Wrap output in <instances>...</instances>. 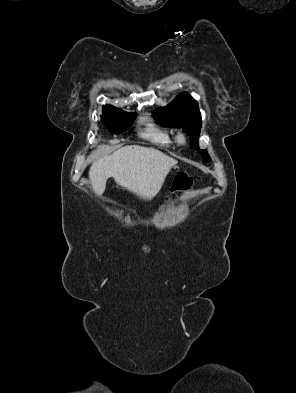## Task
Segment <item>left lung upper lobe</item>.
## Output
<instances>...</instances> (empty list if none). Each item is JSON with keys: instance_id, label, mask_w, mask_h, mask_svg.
Returning <instances> with one entry per match:
<instances>
[{"instance_id": "5c2ea615", "label": "left lung upper lobe", "mask_w": 296, "mask_h": 393, "mask_svg": "<svg viewBox=\"0 0 296 393\" xmlns=\"http://www.w3.org/2000/svg\"><path fill=\"white\" fill-rule=\"evenodd\" d=\"M157 121L163 125L177 126L190 136L192 145L201 153L205 162H210L206 150L198 148V138L201 130V114L198 103L188 94H179L169 105L153 112Z\"/></svg>"}]
</instances>
